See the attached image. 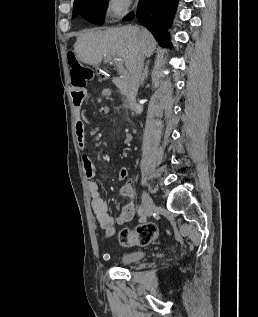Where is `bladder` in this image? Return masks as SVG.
I'll list each match as a JSON object with an SVG mask.
<instances>
[{"instance_id": "31cf9c89", "label": "bladder", "mask_w": 258, "mask_h": 317, "mask_svg": "<svg viewBox=\"0 0 258 317\" xmlns=\"http://www.w3.org/2000/svg\"><path fill=\"white\" fill-rule=\"evenodd\" d=\"M145 252L143 250H134L130 252L123 253L119 257V261L122 264H132L143 258Z\"/></svg>"}]
</instances>
